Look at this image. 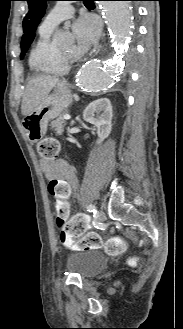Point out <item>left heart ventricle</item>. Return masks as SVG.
Here are the masks:
<instances>
[{
  "label": "left heart ventricle",
  "instance_id": "left-heart-ventricle-1",
  "mask_svg": "<svg viewBox=\"0 0 183 329\" xmlns=\"http://www.w3.org/2000/svg\"><path fill=\"white\" fill-rule=\"evenodd\" d=\"M61 51L67 56H73L77 53L76 46L73 43L67 46L66 48L62 49Z\"/></svg>",
  "mask_w": 183,
  "mask_h": 329
}]
</instances>
